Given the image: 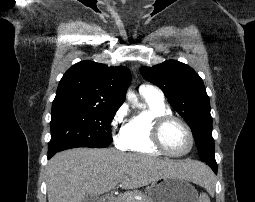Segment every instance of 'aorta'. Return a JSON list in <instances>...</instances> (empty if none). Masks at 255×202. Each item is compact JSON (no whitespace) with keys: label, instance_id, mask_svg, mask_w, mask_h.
Returning <instances> with one entry per match:
<instances>
[{"label":"aorta","instance_id":"aorta-1","mask_svg":"<svg viewBox=\"0 0 255 202\" xmlns=\"http://www.w3.org/2000/svg\"><path fill=\"white\" fill-rule=\"evenodd\" d=\"M127 99L133 103H135L137 106H141L139 103H138V98L137 96L134 94V93H128L127 94Z\"/></svg>","mask_w":255,"mask_h":202}]
</instances>
